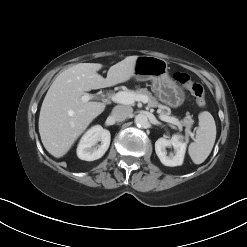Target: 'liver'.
Instances as JSON below:
<instances>
[{
  "instance_id": "1",
  "label": "liver",
  "mask_w": 247,
  "mask_h": 247,
  "mask_svg": "<svg viewBox=\"0 0 247 247\" xmlns=\"http://www.w3.org/2000/svg\"><path fill=\"white\" fill-rule=\"evenodd\" d=\"M138 56H128L111 66L107 77L97 73L103 65L79 63L60 73L41 106L39 133L45 149L54 157L64 156L106 105L83 102L85 92L124 83L134 76Z\"/></svg>"
}]
</instances>
